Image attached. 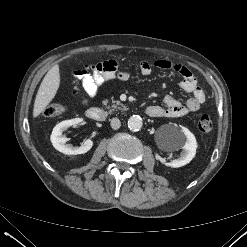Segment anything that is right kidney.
<instances>
[{
  "instance_id": "1",
  "label": "right kidney",
  "mask_w": 247,
  "mask_h": 247,
  "mask_svg": "<svg viewBox=\"0 0 247 247\" xmlns=\"http://www.w3.org/2000/svg\"><path fill=\"white\" fill-rule=\"evenodd\" d=\"M82 121L83 119L81 118L65 120L60 122L53 128L50 140L56 150L66 155H77L84 154L92 148L93 141L90 139L86 140L80 147H74L72 144H66L68 138L62 135V133L67 130V128H69L70 126H77Z\"/></svg>"
}]
</instances>
